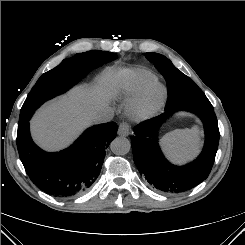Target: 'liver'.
Returning <instances> with one entry per match:
<instances>
[{"mask_svg": "<svg viewBox=\"0 0 245 245\" xmlns=\"http://www.w3.org/2000/svg\"><path fill=\"white\" fill-rule=\"evenodd\" d=\"M117 71L107 68L93 85H80L42 106L31 120L35 142L48 151L68 146L116 94Z\"/></svg>", "mask_w": 245, "mask_h": 245, "instance_id": "1", "label": "liver"}]
</instances>
